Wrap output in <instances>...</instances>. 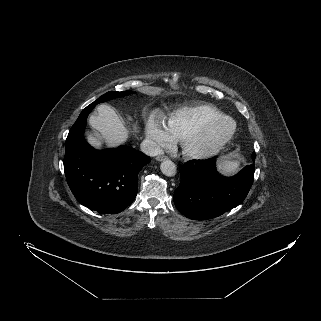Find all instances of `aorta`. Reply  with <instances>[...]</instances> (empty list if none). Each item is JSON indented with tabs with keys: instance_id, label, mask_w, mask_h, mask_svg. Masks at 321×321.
Instances as JSON below:
<instances>
[{
	"instance_id": "obj_1",
	"label": "aorta",
	"mask_w": 321,
	"mask_h": 321,
	"mask_svg": "<svg viewBox=\"0 0 321 321\" xmlns=\"http://www.w3.org/2000/svg\"><path fill=\"white\" fill-rule=\"evenodd\" d=\"M161 172L166 176H174L176 174L177 168L174 162L171 160H164L160 164Z\"/></svg>"
}]
</instances>
